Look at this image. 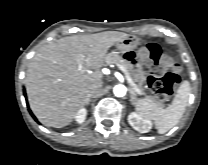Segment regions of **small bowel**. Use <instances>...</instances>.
<instances>
[{"instance_id": "1", "label": "small bowel", "mask_w": 208, "mask_h": 165, "mask_svg": "<svg viewBox=\"0 0 208 165\" xmlns=\"http://www.w3.org/2000/svg\"><path fill=\"white\" fill-rule=\"evenodd\" d=\"M123 60L130 65L133 76L138 80L142 87H147L150 84V79L145 69L142 68V62L139 54L135 50L125 51Z\"/></svg>"}]
</instances>
